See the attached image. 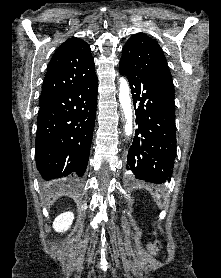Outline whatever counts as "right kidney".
I'll return each instance as SVG.
<instances>
[{
    "mask_svg": "<svg viewBox=\"0 0 221 278\" xmlns=\"http://www.w3.org/2000/svg\"><path fill=\"white\" fill-rule=\"evenodd\" d=\"M74 219V214L70 211L64 212L56 217L53 222V228L57 232H64L70 228Z\"/></svg>",
    "mask_w": 221,
    "mask_h": 278,
    "instance_id": "right-kidney-1",
    "label": "right kidney"
}]
</instances>
